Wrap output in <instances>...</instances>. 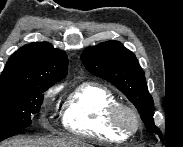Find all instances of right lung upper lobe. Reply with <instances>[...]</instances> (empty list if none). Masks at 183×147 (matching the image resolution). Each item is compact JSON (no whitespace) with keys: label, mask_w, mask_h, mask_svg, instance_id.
<instances>
[{"label":"right lung upper lobe","mask_w":183,"mask_h":147,"mask_svg":"<svg viewBox=\"0 0 183 147\" xmlns=\"http://www.w3.org/2000/svg\"><path fill=\"white\" fill-rule=\"evenodd\" d=\"M68 59L63 51L47 42L27 44L8 60L0 77V87L35 82L52 86L67 74Z\"/></svg>","instance_id":"obj_1"}]
</instances>
